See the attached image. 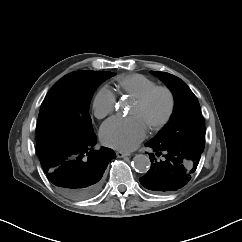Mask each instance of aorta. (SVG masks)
Returning a JSON list of instances; mask_svg holds the SVG:
<instances>
[{
  "label": "aorta",
  "instance_id": "aorta-1",
  "mask_svg": "<svg viewBox=\"0 0 242 242\" xmlns=\"http://www.w3.org/2000/svg\"><path fill=\"white\" fill-rule=\"evenodd\" d=\"M134 168L140 173H146L150 167V159L147 155L137 154L133 159Z\"/></svg>",
  "mask_w": 242,
  "mask_h": 242
}]
</instances>
